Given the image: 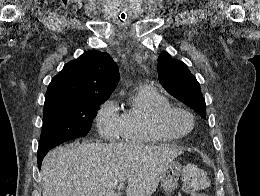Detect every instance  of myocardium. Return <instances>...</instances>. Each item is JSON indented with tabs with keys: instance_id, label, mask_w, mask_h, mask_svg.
I'll use <instances>...</instances> for the list:
<instances>
[{
	"instance_id": "obj_1",
	"label": "myocardium",
	"mask_w": 260,
	"mask_h": 196,
	"mask_svg": "<svg viewBox=\"0 0 260 196\" xmlns=\"http://www.w3.org/2000/svg\"><path fill=\"white\" fill-rule=\"evenodd\" d=\"M176 115L183 117L187 121L188 126L185 129L177 128L173 124V117ZM191 117V113L187 109L179 106H170L159 112L158 118L154 121V127L178 139L184 138L192 132Z\"/></svg>"
}]
</instances>
